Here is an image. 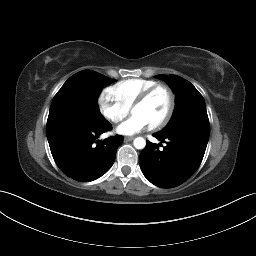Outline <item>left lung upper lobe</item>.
I'll return each instance as SVG.
<instances>
[{
	"mask_svg": "<svg viewBox=\"0 0 256 256\" xmlns=\"http://www.w3.org/2000/svg\"><path fill=\"white\" fill-rule=\"evenodd\" d=\"M172 88L175 96V109L162 135L189 130L209 137V119L204 98L187 80L176 75H157Z\"/></svg>",
	"mask_w": 256,
	"mask_h": 256,
	"instance_id": "1",
	"label": "left lung upper lobe"
}]
</instances>
